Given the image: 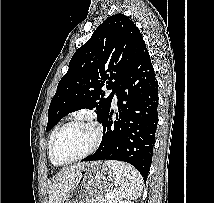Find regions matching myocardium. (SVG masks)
Returning <instances> with one entry per match:
<instances>
[{
	"instance_id": "1",
	"label": "myocardium",
	"mask_w": 214,
	"mask_h": 203,
	"mask_svg": "<svg viewBox=\"0 0 214 203\" xmlns=\"http://www.w3.org/2000/svg\"><path fill=\"white\" fill-rule=\"evenodd\" d=\"M76 124H85V125L90 126L95 132L94 141H93L91 147L86 152L81 154L80 156H78L74 159H71L69 161H60L56 157V145H57L58 138L66 128H68L72 125H76ZM101 140H102V129L97 122L90 120V119H81V118L70 120V121L64 123L63 125H61L53 137V141H52V145H51L52 159L54 160L55 163H57L59 165H68V164L78 162V161L83 160V159L87 158L88 156H90L98 148V146L101 143Z\"/></svg>"
}]
</instances>
